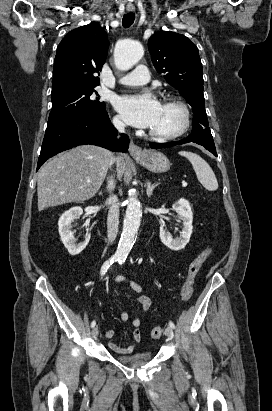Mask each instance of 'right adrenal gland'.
Instances as JSON below:
<instances>
[{
  "mask_svg": "<svg viewBox=\"0 0 272 411\" xmlns=\"http://www.w3.org/2000/svg\"><path fill=\"white\" fill-rule=\"evenodd\" d=\"M102 194V192H99V195H101Z\"/></svg>",
  "mask_w": 272,
  "mask_h": 411,
  "instance_id": "2a0ac1e0",
  "label": "right adrenal gland"
}]
</instances>
